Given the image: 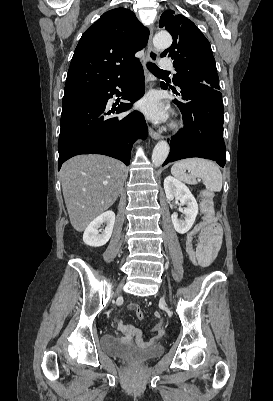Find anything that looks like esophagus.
Here are the masks:
<instances>
[{"mask_svg":"<svg viewBox=\"0 0 273 401\" xmlns=\"http://www.w3.org/2000/svg\"><path fill=\"white\" fill-rule=\"evenodd\" d=\"M152 38H153V26L151 28L150 36H149L148 51H147V55H146V63L147 62H156L158 59V53L152 46ZM146 63H145V67H144L145 79H146V83H147V89H150L151 85L149 83L153 80V76L149 73ZM148 129H149V135L151 136V138H153L155 140H159L162 138L161 134L156 132L151 126H148Z\"/></svg>","mask_w":273,"mask_h":401,"instance_id":"esophagus-1","label":"esophagus"}]
</instances>
